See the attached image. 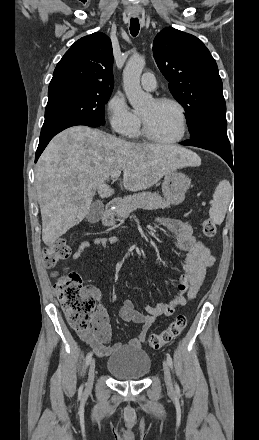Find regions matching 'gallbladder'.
I'll list each match as a JSON object with an SVG mask.
<instances>
[{
    "label": "gallbladder",
    "instance_id": "obj_1",
    "mask_svg": "<svg viewBox=\"0 0 259 440\" xmlns=\"http://www.w3.org/2000/svg\"><path fill=\"white\" fill-rule=\"evenodd\" d=\"M103 211H104L103 203L99 200L95 201L92 204L90 211L86 216L87 221L90 223L98 222L102 218Z\"/></svg>",
    "mask_w": 259,
    "mask_h": 440
}]
</instances>
